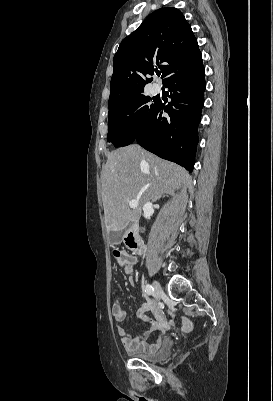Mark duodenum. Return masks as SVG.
Masks as SVG:
<instances>
[{"mask_svg": "<svg viewBox=\"0 0 273 401\" xmlns=\"http://www.w3.org/2000/svg\"><path fill=\"white\" fill-rule=\"evenodd\" d=\"M124 241L126 246L133 251L134 254L140 255L143 251V244L139 238V225L132 223L127 229Z\"/></svg>", "mask_w": 273, "mask_h": 401, "instance_id": "1", "label": "duodenum"}]
</instances>
